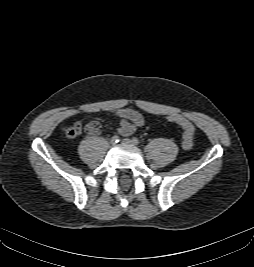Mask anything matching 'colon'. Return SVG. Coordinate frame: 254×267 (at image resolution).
<instances>
[{
    "label": "colon",
    "instance_id": "5ec220e1",
    "mask_svg": "<svg viewBox=\"0 0 254 267\" xmlns=\"http://www.w3.org/2000/svg\"><path fill=\"white\" fill-rule=\"evenodd\" d=\"M166 118L169 122L175 123L182 128V146L185 149H191L194 146L195 128L193 124L184 116L176 113L169 114ZM65 133L68 137L74 138L81 133V128L74 125L73 127L66 128Z\"/></svg>",
    "mask_w": 254,
    "mask_h": 267
}]
</instances>
